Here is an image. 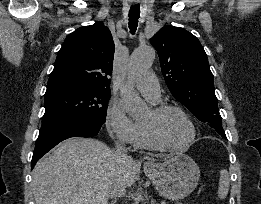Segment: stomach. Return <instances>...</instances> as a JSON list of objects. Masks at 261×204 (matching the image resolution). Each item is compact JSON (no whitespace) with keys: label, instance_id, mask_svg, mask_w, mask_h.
Segmentation results:
<instances>
[{"label":"stomach","instance_id":"stomach-1","mask_svg":"<svg viewBox=\"0 0 261 204\" xmlns=\"http://www.w3.org/2000/svg\"><path fill=\"white\" fill-rule=\"evenodd\" d=\"M144 172L160 195L170 200L188 196L197 186L200 170L195 161L177 153L164 162H150L144 165Z\"/></svg>","mask_w":261,"mask_h":204}]
</instances>
